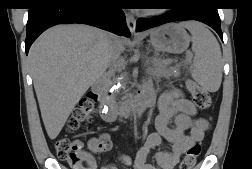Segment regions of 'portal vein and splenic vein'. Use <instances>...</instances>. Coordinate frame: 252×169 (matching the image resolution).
Wrapping results in <instances>:
<instances>
[{"label": "portal vein and splenic vein", "mask_w": 252, "mask_h": 169, "mask_svg": "<svg viewBox=\"0 0 252 169\" xmlns=\"http://www.w3.org/2000/svg\"><path fill=\"white\" fill-rule=\"evenodd\" d=\"M191 59H192V55H191V54H188V55H187V61H191ZM167 61H169V60H165V62H167Z\"/></svg>", "instance_id": "1"}]
</instances>
